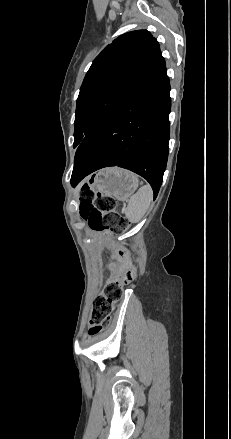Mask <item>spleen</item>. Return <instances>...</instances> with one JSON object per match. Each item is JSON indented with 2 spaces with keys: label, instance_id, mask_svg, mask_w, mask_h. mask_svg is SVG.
Masks as SVG:
<instances>
[{
  "label": "spleen",
  "instance_id": "spleen-1",
  "mask_svg": "<svg viewBox=\"0 0 231 439\" xmlns=\"http://www.w3.org/2000/svg\"><path fill=\"white\" fill-rule=\"evenodd\" d=\"M153 199V191L150 185L142 186L131 196L125 209L126 218L133 223L139 222L147 212Z\"/></svg>",
  "mask_w": 231,
  "mask_h": 439
}]
</instances>
